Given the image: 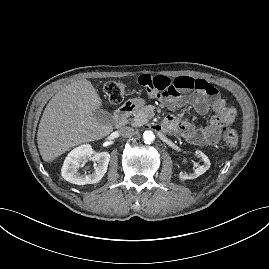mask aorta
<instances>
[{"mask_svg":"<svg viewBox=\"0 0 269 269\" xmlns=\"http://www.w3.org/2000/svg\"><path fill=\"white\" fill-rule=\"evenodd\" d=\"M143 140L146 144H150L155 140V134L153 133V131H145L143 133Z\"/></svg>","mask_w":269,"mask_h":269,"instance_id":"aorta-1","label":"aorta"}]
</instances>
